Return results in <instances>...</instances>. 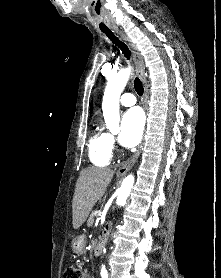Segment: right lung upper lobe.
<instances>
[{"label":"right lung upper lobe","instance_id":"obj_1","mask_svg":"<svg viewBox=\"0 0 221 278\" xmlns=\"http://www.w3.org/2000/svg\"><path fill=\"white\" fill-rule=\"evenodd\" d=\"M92 111V106H91V108H90V112Z\"/></svg>","mask_w":221,"mask_h":278}]
</instances>
